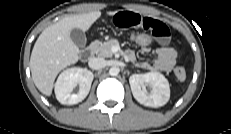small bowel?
Segmentation results:
<instances>
[{
  "instance_id": "c3829d8e",
  "label": "small bowel",
  "mask_w": 231,
  "mask_h": 134,
  "mask_svg": "<svg viewBox=\"0 0 231 134\" xmlns=\"http://www.w3.org/2000/svg\"><path fill=\"white\" fill-rule=\"evenodd\" d=\"M113 25L120 30H142L150 34L158 43L159 47L151 50L150 47L142 48L145 53L153 52L155 59L152 62H137V65L145 70L170 71L176 63L177 52L168 45L169 29L160 20L150 16H142L132 11H118L112 15ZM126 58L131 62H136L133 51H127Z\"/></svg>"
}]
</instances>
